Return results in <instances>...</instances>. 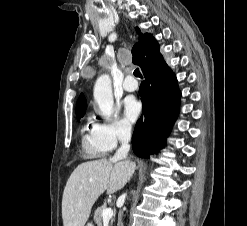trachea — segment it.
<instances>
[{
  "label": "trachea",
  "mask_w": 247,
  "mask_h": 226,
  "mask_svg": "<svg viewBox=\"0 0 247 226\" xmlns=\"http://www.w3.org/2000/svg\"><path fill=\"white\" fill-rule=\"evenodd\" d=\"M134 76L142 78V74L140 73V70L138 68L134 71Z\"/></svg>",
  "instance_id": "obj_1"
}]
</instances>
